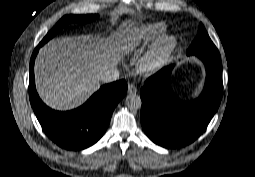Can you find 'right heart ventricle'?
I'll list each match as a JSON object with an SVG mask.
<instances>
[{"mask_svg": "<svg viewBox=\"0 0 255 177\" xmlns=\"http://www.w3.org/2000/svg\"><path fill=\"white\" fill-rule=\"evenodd\" d=\"M164 32L165 28L162 24L146 26L127 41V54L130 56H137L145 48L151 47L157 40H159Z\"/></svg>", "mask_w": 255, "mask_h": 177, "instance_id": "right-heart-ventricle-1", "label": "right heart ventricle"}]
</instances>
